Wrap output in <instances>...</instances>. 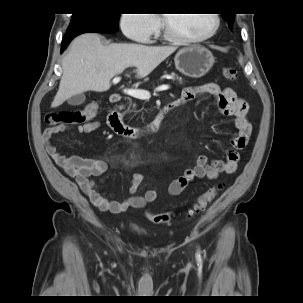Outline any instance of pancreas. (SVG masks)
<instances>
[{"mask_svg": "<svg viewBox=\"0 0 303 303\" xmlns=\"http://www.w3.org/2000/svg\"><path fill=\"white\" fill-rule=\"evenodd\" d=\"M171 76L173 77V80H178L180 84L183 83L182 77L178 76L177 74H175L174 72L171 73ZM132 105V102H129V107L127 109L126 112H131L130 110V106ZM135 106V105H134Z\"/></svg>", "mask_w": 303, "mask_h": 303, "instance_id": "cf45deb5", "label": "pancreas"}]
</instances>
